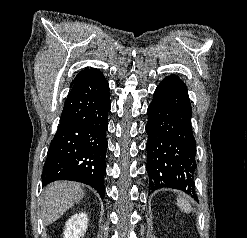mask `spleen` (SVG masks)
<instances>
[{
	"mask_svg": "<svg viewBox=\"0 0 247 238\" xmlns=\"http://www.w3.org/2000/svg\"><path fill=\"white\" fill-rule=\"evenodd\" d=\"M177 205L180 209H182L185 213H190L192 208L189 204V201L185 198H178Z\"/></svg>",
	"mask_w": 247,
	"mask_h": 238,
	"instance_id": "3e777b00",
	"label": "spleen"
}]
</instances>
